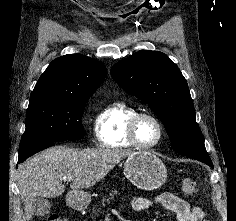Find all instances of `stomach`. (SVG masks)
I'll return each mask as SVG.
<instances>
[{
    "instance_id": "obj_1",
    "label": "stomach",
    "mask_w": 236,
    "mask_h": 221,
    "mask_svg": "<svg viewBox=\"0 0 236 221\" xmlns=\"http://www.w3.org/2000/svg\"><path fill=\"white\" fill-rule=\"evenodd\" d=\"M126 178L137 188L151 191L160 188L167 179L165 164L155 154L147 151L134 152L124 162ZM67 204L77 210L86 208L91 196L84 191L69 192Z\"/></svg>"
}]
</instances>
